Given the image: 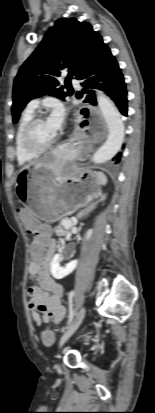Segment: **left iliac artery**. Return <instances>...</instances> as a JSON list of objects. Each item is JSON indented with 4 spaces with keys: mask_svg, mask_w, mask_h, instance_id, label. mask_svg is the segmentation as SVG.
Returning a JSON list of instances; mask_svg holds the SVG:
<instances>
[{
    "mask_svg": "<svg viewBox=\"0 0 155 413\" xmlns=\"http://www.w3.org/2000/svg\"><path fill=\"white\" fill-rule=\"evenodd\" d=\"M73 297H74V291H71L69 293L70 312H69V321H68V323H70L72 321L73 316H74V311H73V308H72V299H73Z\"/></svg>",
    "mask_w": 155,
    "mask_h": 413,
    "instance_id": "1",
    "label": "left iliac artery"
}]
</instances>
